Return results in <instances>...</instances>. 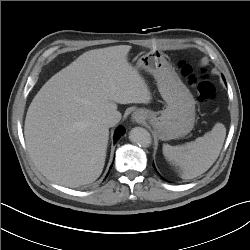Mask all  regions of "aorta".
Instances as JSON below:
<instances>
[{
  "label": "aorta",
  "instance_id": "aorta-1",
  "mask_svg": "<svg viewBox=\"0 0 250 250\" xmlns=\"http://www.w3.org/2000/svg\"><path fill=\"white\" fill-rule=\"evenodd\" d=\"M129 139L142 147H148L152 142L150 133L142 127L133 128L129 133Z\"/></svg>",
  "mask_w": 250,
  "mask_h": 250
}]
</instances>
